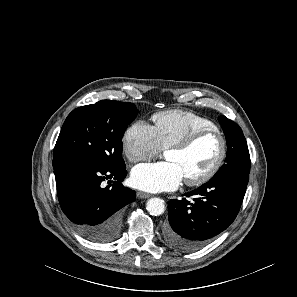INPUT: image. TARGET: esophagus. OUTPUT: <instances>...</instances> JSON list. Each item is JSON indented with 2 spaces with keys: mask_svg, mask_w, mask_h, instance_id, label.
Returning a JSON list of instances; mask_svg holds the SVG:
<instances>
[{
  "mask_svg": "<svg viewBox=\"0 0 297 297\" xmlns=\"http://www.w3.org/2000/svg\"><path fill=\"white\" fill-rule=\"evenodd\" d=\"M137 197L140 198V199H146V198L151 197V194L145 193V192H142V191H138L137 192Z\"/></svg>",
  "mask_w": 297,
  "mask_h": 297,
  "instance_id": "1",
  "label": "esophagus"
}]
</instances>
